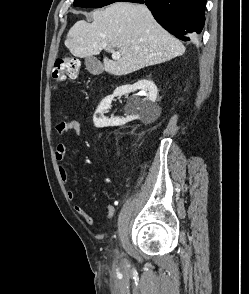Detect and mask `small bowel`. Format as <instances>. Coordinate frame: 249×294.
Wrapping results in <instances>:
<instances>
[{
  "label": "small bowel",
  "instance_id": "small-bowel-1",
  "mask_svg": "<svg viewBox=\"0 0 249 294\" xmlns=\"http://www.w3.org/2000/svg\"><path fill=\"white\" fill-rule=\"evenodd\" d=\"M57 132L59 134L69 133L74 136H78L81 134V125L78 121L73 119H62L57 123L56 126ZM68 147V138H65L63 141L58 143L55 150V158L58 162H62L65 159L66 152ZM59 172L62 181L65 184L70 183L69 174L65 166L61 163L59 166ZM68 198L73 201L76 199V192L72 189L67 191ZM118 201H114L113 204H107L103 207L104 211L106 212L107 219H112L115 214V207L118 205ZM74 210L77 214L81 215L85 222L92 226L95 222L94 217L89 214L82 206L75 205Z\"/></svg>",
  "mask_w": 249,
  "mask_h": 294
}]
</instances>
